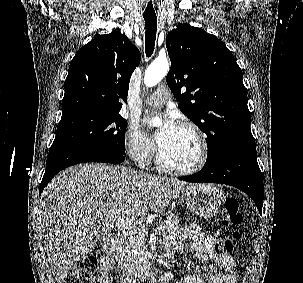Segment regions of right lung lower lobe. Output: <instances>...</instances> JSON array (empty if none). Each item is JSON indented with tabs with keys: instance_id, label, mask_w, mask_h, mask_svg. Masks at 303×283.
<instances>
[{
	"instance_id": "1",
	"label": "right lung lower lobe",
	"mask_w": 303,
	"mask_h": 283,
	"mask_svg": "<svg viewBox=\"0 0 303 283\" xmlns=\"http://www.w3.org/2000/svg\"><path fill=\"white\" fill-rule=\"evenodd\" d=\"M124 159V156L121 154L92 149H62L49 151L45 174L39 186V193H42L44 187L58 172L69 166L86 162L120 164Z\"/></svg>"
}]
</instances>
